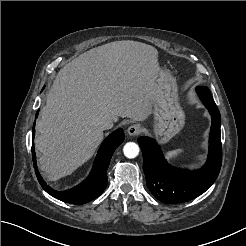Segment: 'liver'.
Segmentation results:
<instances>
[{"label": "liver", "mask_w": 246, "mask_h": 246, "mask_svg": "<svg viewBox=\"0 0 246 246\" xmlns=\"http://www.w3.org/2000/svg\"><path fill=\"white\" fill-rule=\"evenodd\" d=\"M161 73L155 47L132 40L92 48L57 74L36 124L39 167L50 180L70 175L103 140L101 120L144 121Z\"/></svg>", "instance_id": "liver-1"}]
</instances>
